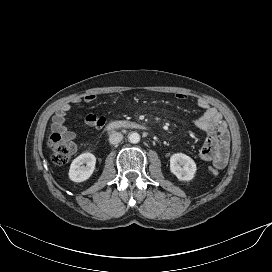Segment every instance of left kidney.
<instances>
[{"label": "left kidney", "mask_w": 272, "mask_h": 272, "mask_svg": "<svg viewBox=\"0 0 272 272\" xmlns=\"http://www.w3.org/2000/svg\"><path fill=\"white\" fill-rule=\"evenodd\" d=\"M194 160L183 153H175L170 157V171L180 181H190L196 172Z\"/></svg>", "instance_id": "left-kidney-1"}]
</instances>
